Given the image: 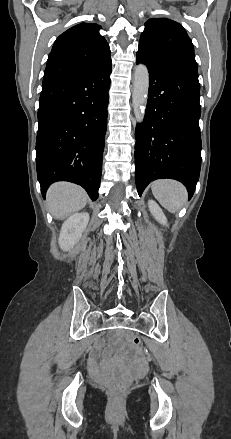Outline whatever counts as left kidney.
<instances>
[{"label":"left kidney","instance_id":"1","mask_svg":"<svg viewBox=\"0 0 231 439\" xmlns=\"http://www.w3.org/2000/svg\"><path fill=\"white\" fill-rule=\"evenodd\" d=\"M148 204L150 212L155 217V219L158 220L161 224L167 225V219L159 205L153 200H150Z\"/></svg>","mask_w":231,"mask_h":439}]
</instances>
